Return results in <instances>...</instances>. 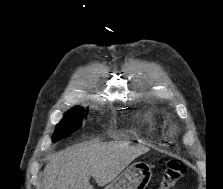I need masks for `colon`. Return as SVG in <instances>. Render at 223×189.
<instances>
[{
  "label": "colon",
  "mask_w": 223,
  "mask_h": 189,
  "mask_svg": "<svg viewBox=\"0 0 223 189\" xmlns=\"http://www.w3.org/2000/svg\"><path fill=\"white\" fill-rule=\"evenodd\" d=\"M185 172L186 168L180 161L175 159L169 160L157 189H172Z\"/></svg>",
  "instance_id": "1"
}]
</instances>
